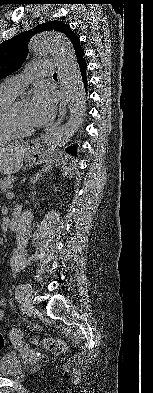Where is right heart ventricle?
Here are the masks:
<instances>
[{"label": "right heart ventricle", "mask_w": 153, "mask_h": 393, "mask_svg": "<svg viewBox=\"0 0 153 393\" xmlns=\"http://www.w3.org/2000/svg\"><path fill=\"white\" fill-rule=\"evenodd\" d=\"M18 94L0 86V145L11 142L15 134L10 126L9 111Z\"/></svg>", "instance_id": "1"}]
</instances>
